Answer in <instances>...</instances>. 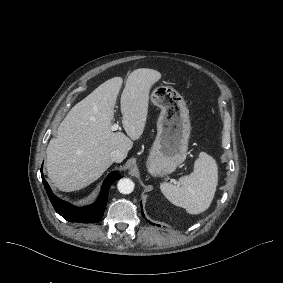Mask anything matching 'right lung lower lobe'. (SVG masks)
Segmentation results:
<instances>
[{
    "label": "right lung lower lobe",
    "instance_id": "98d812e1",
    "mask_svg": "<svg viewBox=\"0 0 283 283\" xmlns=\"http://www.w3.org/2000/svg\"><path fill=\"white\" fill-rule=\"evenodd\" d=\"M41 176L48 197L53 207L55 208L56 212L70 222H85V223H95L102 219L108 199V192L110 186L114 181L120 178L118 172L110 173L102 185V190L98 200L92 205L78 208L72 206L71 204L65 201L58 199L52 193L48 183L43 177L42 168H41Z\"/></svg>",
    "mask_w": 283,
    "mask_h": 283
}]
</instances>
